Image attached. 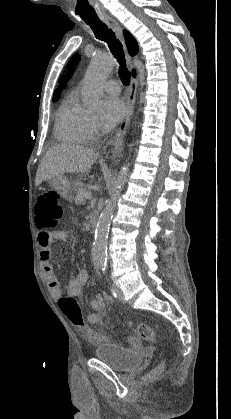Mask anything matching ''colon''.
<instances>
[{
    "mask_svg": "<svg viewBox=\"0 0 231 419\" xmlns=\"http://www.w3.org/2000/svg\"><path fill=\"white\" fill-rule=\"evenodd\" d=\"M63 218V207L55 191H46L38 196L35 205V219L40 230L55 228ZM58 305L62 313L76 328L85 333L88 341L98 339L97 333L85 327L79 302L73 297H61ZM134 332L138 337L147 342H155V334L150 326L144 323L137 324Z\"/></svg>",
    "mask_w": 231,
    "mask_h": 419,
    "instance_id": "1",
    "label": "colon"
}]
</instances>
